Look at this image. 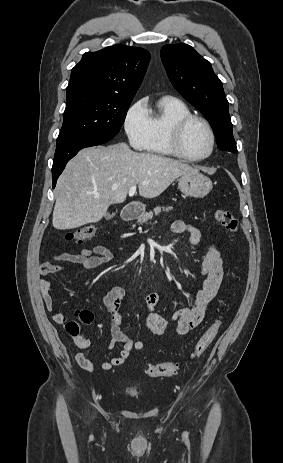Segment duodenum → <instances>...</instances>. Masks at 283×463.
<instances>
[{
    "label": "duodenum",
    "instance_id": "duodenum-1",
    "mask_svg": "<svg viewBox=\"0 0 283 463\" xmlns=\"http://www.w3.org/2000/svg\"><path fill=\"white\" fill-rule=\"evenodd\" d=\"M137 205L134 203L128 204L124 207L121 213V219L124 221L132 220L137 217Z\"/></svg>",
    "mask_w": 283,
    "mask_h": 463
}]
</instances>
